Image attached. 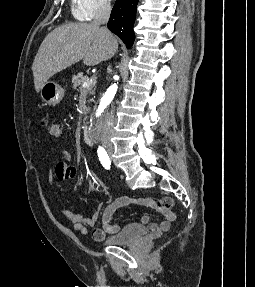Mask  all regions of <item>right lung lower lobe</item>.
<instances>
[{
  "instance_id": "right-lung-lower-lobe-1",
  "label": "right lung lower lobe",
  "mask_w": 255,
  "mask_h": 287,
  "mask_svg": "<svg viewBox=\"0 0 255 287\" xmlns=\"http://www.w3.org/2000/svg\"><path fill=\"white\" fill-rule=\"evenodd\" d=\"M139 0H116L107 24L109 30L115 33L130 48L135 35L133 25L136 18V8Z\"/></svg>"
}]
</instances>
